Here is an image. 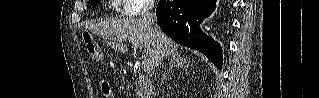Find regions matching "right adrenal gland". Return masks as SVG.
<instances>
[{
  "instance_id": "right-adrenal-gland-1",
  "label": "right adrenal gland",
  "mask_w": 319,
  "mask_h": 98,
  "mask_svg": "<svg viewBox=\"0 0 319 98\" xmlns=\"http://www.w3.org/2000/svg\"><path fill=\"white\" fill-rule=\"evenodd\" d=\"M175 67H188L187 59L182 57L181 54L172 55L169 70L166 74H164L162 81L167 77V75L173 70Z\"/></svg>"
}]
</instances>
